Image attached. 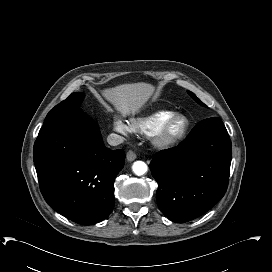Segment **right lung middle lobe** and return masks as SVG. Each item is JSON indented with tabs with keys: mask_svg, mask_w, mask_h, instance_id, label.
I'll return each mask as SVG.
<instances>
[{
	"mask_svg": "<svg viewBox=\"0 0 272 272\" xmlns=\"http://www.w3.org/2000/svg\"><path fill=\"white\" fill-rule=\"evenodd\" d=\"M84 98L83 93H72L66 100L62 101L60 104L56 105L46 116L45 122L51 120L52 118L71 113L79 108L80 103Z\"/></svg>",
	"mask_w": 272,
	"mask_h": 272,
	"instance_id": "1",
	"label": "right lung middle lobe"
}]
</instances>
